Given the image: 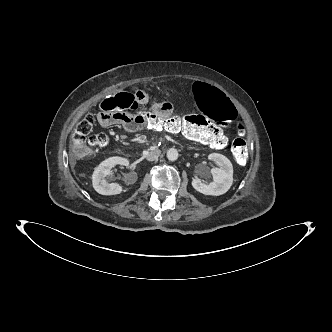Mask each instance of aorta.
Segmentation results:
<instances>
[{
    "mask_svg": "<svg viewBox=\"0 0 332 332\" xmlns=\"http://www.w3.org/2000/svg\"><path fill=\"white\" fill-rule=\"evenodd\" d=\"M167 158L170 161H175L178 159V151L175 148H170L167 151Z\"/></svg>",
    "mask_w": 332,
    "mask_h": 332,
    "instance_id": "1",
    "label": "aorta"
}]
</instances>
